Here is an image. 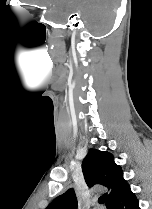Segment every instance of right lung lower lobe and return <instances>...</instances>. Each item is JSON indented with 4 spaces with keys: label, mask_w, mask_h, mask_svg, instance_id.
I'll use <instances>...</instances> for the list:
<instances>
[{
    "label": "right lung lower lobe",
    "mask_w": 152,
    "mask_h": 209,
    "mask_svg": "<svg viewBox=\"0 0 152 209\" xmlns=\"http://www.w3.org/2000/svg\"><path fill=\"white\" fill-rule=\"evenodd\" d=\"M108 209H140L138 200L128 186L110 205Z\"/></svg>",
    "instance_id": "obj_1"
}]
</instances>
